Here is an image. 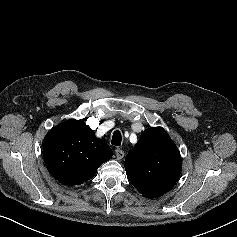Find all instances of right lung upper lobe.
Listing matches in <instances>:
<instances>
[{
    "label": "right lung upper lobe",
    "instance_id": "right-lung-upper-lobe-1",
    "mask_svg": "<svg viewBox=\"0 0 237 237\" xmlns=\"http://www.w3.org/2000/svg\"><path fill=\"white\" fill-rule=\"evenodd\" d=\"M44 162L49 173L65 185H80L112 157L111 148L83 120H68L44 138Z\"/></svg>",
    "mask_w": 237,
    "mask_h": 237
}]
</instances>
